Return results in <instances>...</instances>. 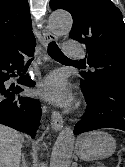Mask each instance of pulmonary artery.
Returning a JSON list of instances; mask_svg holds the SVG:
<instances>
[{"mask_svg": "<svg viewBox=\"0 0 125 167\" xmlns=\"http://www.w3.org/2000/svg\"><path fill=\"white\" fill-rule=\"evenodd\" d=\"M65 53L71 58L82 57V51L79 49L78 43L75 40H67L65 42Z\"/></svg>", "mask_w": 125, "mask_h": 167, "instance_id": "pulmonary-artery-1", "label": "pulmonary artery"}]
</instances>
